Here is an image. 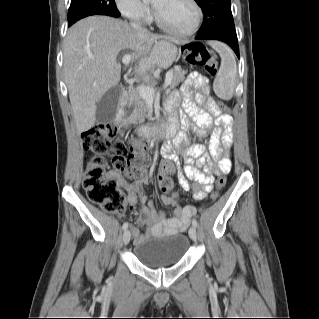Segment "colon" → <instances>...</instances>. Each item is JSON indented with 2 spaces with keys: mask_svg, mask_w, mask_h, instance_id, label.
Listing matches in <instances>:
<instances>
[{
  "mask_svg": "<svg viewBox=\"0 0 319 319\" xmlns=\"http://www.w3.org/2000/svg\"><path fill=\"white\" fill-rule=\"evenodd\" d=\"M182 55L187 63L193 66H205L211 76L218 72L217 62L210 51L196 44H185ZM210 109L213 113L227 110L224 103L212 101ZM118 129L111 122L100 123L90 129L83 136L84 147L95 155L89 160L85 169L84 188L91 202L98 204L110 214H122L126 210L125 195L118 187L117 181L107 169L102 155L109 154L112 158L114 171L125 173L129 176L148 175L151 160L144 155L141 148L128 147L123 140L117 138ZM163 189L171 186V181L160 177ZM226 179L220 177L216 181L218 190L224 189ZM178 198L177 193H173ZM217 193L213 194L216 199Z\"/></svg>",
  "mask_w": 319,
  "mask_h": 319,
  "instance_id": "1",
  "label": "colon"
}]
</instances>
